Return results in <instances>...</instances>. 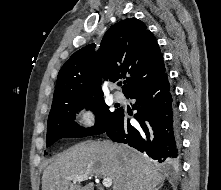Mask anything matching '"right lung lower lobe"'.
Masks as SVG:
<instances>
[{"instance_id":"obj_1","label":"right lung lower lobe","mask_w":221,"mask_h":190,"mask_svg":"<svg viewBox=\"0 0 221 190\" xmlns=\"http://www.w3.org/2000/svg\"><path fill=\"white\" fill-rule=\"evenodd\" d=\"M136 99L132 126L127 114L121 112L106 131L111 140L128 144L166 166H176L180 158L179 120L167 73L126 95Z\"/></svg>"}]
</instances>
